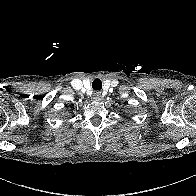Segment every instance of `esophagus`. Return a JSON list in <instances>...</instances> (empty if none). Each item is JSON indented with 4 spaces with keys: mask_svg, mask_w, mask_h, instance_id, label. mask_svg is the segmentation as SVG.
Returning a JSON list of instances; mask_svg holds the SVG:
<instances>
[{
    "mask_svg": "<svg viewBox=\"0 0 196 196\" xmlns=\"http://www.w3.org/2000/svg\"><path fill=\"white\" fill-rule=\"evenodd\" d=\"M94 98L95 99H99L100 98V94L99 93H94Z\"/></svg>",
    "mask_w": 196,
    "mask_h": 196,
    "instance_id": "esophagus-1",
    "label": "esophagus"
}]
</instances>
